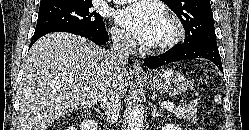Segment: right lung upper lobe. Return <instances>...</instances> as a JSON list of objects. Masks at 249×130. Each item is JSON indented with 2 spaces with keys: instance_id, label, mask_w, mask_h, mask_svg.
Returning a JSON list of instances; mask_svg holds the SVG:
<instances>
[{
  "instance_id": "obj_1",
  "label": "right lung upper lobe",
  "mask_w": 249,
  "mask_h": 130,
  "mask_svg": "<svg viewBox=\"0 0 249 130\" xmlns=\"http://www.w3.org/2000/svg\"><path fill=\"white\" fill-rule=\"evenodd\" d=\"M66 1H69V0H41L40 6H51V5L63 3Z\"/></svg>"
}]
</instances>
